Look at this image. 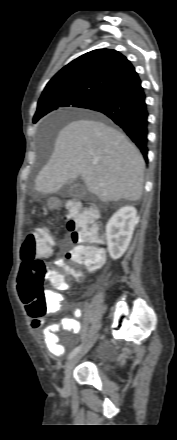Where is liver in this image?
Listing matches in <instances>:
<instances>
[{
	"instance_id": "6515ba94",
	"label": "liver",
	"mask_w": 177,
	"mask_h": 440,
	"mask_svg": "<svg viewBox=\"0 0 177 440\" xmlns=\"http://www.w3.org/2000/svg\"><path fill=\"white\" fill-rule=\"evenodd\" d=\"M144 169L142 155L124 134L101 121L79 119L59 132L35 189L56 193L80 176L101 201H137L143 191Z\"/></svg>"
}]
</instances>
